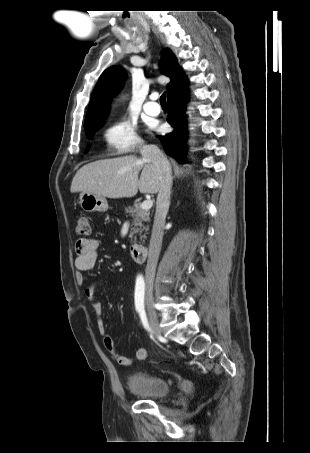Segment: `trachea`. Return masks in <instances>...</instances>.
Instances as JSON below:
<instances>
[{"label":"trachea","instance_id":"3493384b","mask_svg":"<svg viewBox=\"0 0 310 453\" xmlns=\"http://www.w3.org/2000/svg\"><path fill=\"white\" fill-rule=\"evenodd\" d=\"M160 103H161V105H166V93L165 92L160 96Z\"/></svg>","mask_w":310,"mask_h":453}]
</instances>
